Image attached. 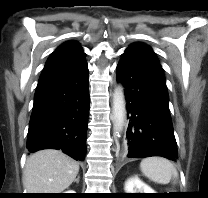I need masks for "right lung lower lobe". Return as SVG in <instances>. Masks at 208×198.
Masks as SVG:
<instances>
[{
	"label": "right lung lower lobe",
	"instance_id": "obj_1",
	"mask_svg": "<svg viewBox=\"0 0 208 198\" xmlns=\"http://www.w3.org/2000/svg\"><path fill=\"white\" fill-rule=\"evenodd\" d=\"M89 114L87 63L64 77L39 84L34 96L26 148L62 150L82 161Z\"/></svg>",
	"mask_w": 208,
	"mask_h": 198
}]
</instances>
